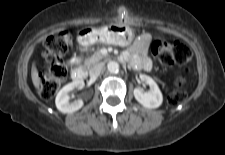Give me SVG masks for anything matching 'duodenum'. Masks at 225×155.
<instances>
[{"instance_id": "1", "label": "duodenum", "mask_w": 225, "mask_h": 155, "mask_svg": "<svg viewBox=\"0 0 225 155\" xmlns=\"http://www.w3.org/2000/svg\"><path fill=\"white\" fill-rule=\"evenodd\" d=\"M86 78V71L82 67L75 68L72 71V79L75 82H80Z\"/></svg>"}]
</instances>
